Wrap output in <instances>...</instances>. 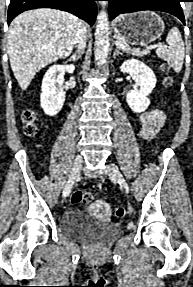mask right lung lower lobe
Instances as JSON below:
<instances>
[{"mask_svg":"<svg viewBox=\"0 0 193 287\" xmlns=\"http://www.w3.org/2000/svg\"><path fill=\"white\" fill-rule=\"evenodd\" d=\"M98 0H11L8 8V25L20 13L36 8H54L70 12L93 25Z\"/></svg>","mask_w":193,"mask_h":287,"instance_id":"98d812e1","label":"right lung lower lobe"}]
</instances>
